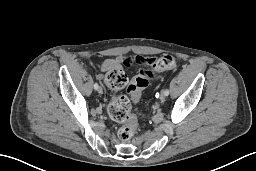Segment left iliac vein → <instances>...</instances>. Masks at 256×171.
<instances>
[{
    "label": "left iliac vein",
    "instance_id": "obj_1",
    "mask_svg": "<svg viewBox=\"0 0 256 171\" xmlns=\"http://www.w3.org/2000/svg\"><path fill=\"white\" fill-rule=\"evenodd\" d=\"M165 98H166V95L164 94V92H162L160 95V100L165 101Z\"/></svg>",
    "mask_w": 256,
    "mask_h": 171
}]
</instances>
